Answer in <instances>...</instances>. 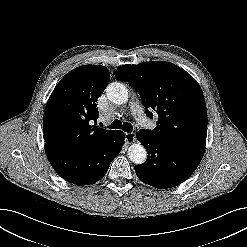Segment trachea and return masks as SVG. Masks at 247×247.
Masks as SVG:
<instances>
[{
    "mask_svg": "<svg viewBox=\"0 0 247 247\" xmlns=\"http://www.w3.org/2000/svg\"><path fill=\"white\" fill-rule=\"evenodd\" d=\"M110 128L111 129H122L124 132L130 133L133 129V126L128 122L122 123L120 120L116 119L111 123Z\"/></svg>",
    "mask_w": 247,
    "mask_h": 247,
    "instance_id": "trachea-1",
    "label": "trachea"
}]
</instances>
